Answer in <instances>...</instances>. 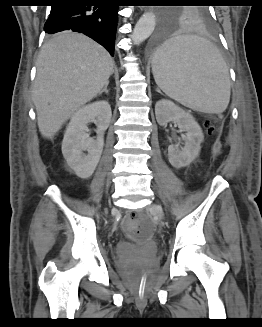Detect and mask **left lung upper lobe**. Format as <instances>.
<instances>
[{"label":"left lung upper lobe","mask_w":262,"mask_h":327,"mask_svg":"<svg viewBox=\"0 0 262 327\" xmlns=\"http://www.w3.org/2000/svg\"><path fill=\"white\" fill-rule=\"evenodd\" d=\"M181 3H203V0H177ZM161 28L166 30L177 26L179 23L186 25L212 24V16L205 6H188L184 9H165L161 13Z\"/></svg>","instance_id":"1"}]
</instances>
